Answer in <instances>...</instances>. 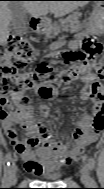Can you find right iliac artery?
<instances>
[{
    "label": "right iliac artery",
    "instance_id": "obj_1",
    "mask_svg": "<svg viewBox=\"0 0 104 189\" xmlns=\"http://www.w3.org/2000/svg\"><path fill=\"white\" fill-rule=\"evenodd\" d=\"M11 160H12V156H11L10 153H8L5 156V160H4V176H3V179H2L3 183H7L8 182V176L7 175H8V171H9Z\"/></svg>",
    "mask_w": 104,
    "mask_h": 189
}]
</instances>
